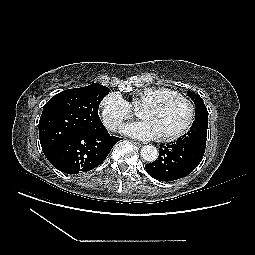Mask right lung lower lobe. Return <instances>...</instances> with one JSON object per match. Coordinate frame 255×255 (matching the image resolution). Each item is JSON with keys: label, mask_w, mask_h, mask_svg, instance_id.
Returning a JSON list of instances; mask_svg holds the SVG:
<instances>
[{"label": "right lung lower lobe", "mask_w": 255, "mask_h": 255, "mask_svg": "<svg viewBox=\"0 0 255 255\" xmlns=\"http://www.w3.org/2000/svg\"><path fill=\"white\" fill-rule=\"evenodd\" d=\"M119 140L110 136L106 128L98 133L78 132L63 140L46 157L56 169L78 174L101 164Z\"/></svg>", "instance_id": "98d812e1"}]
</instances>
